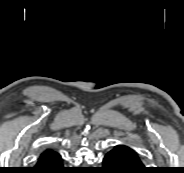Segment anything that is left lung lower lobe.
Masks as SVG:
<instances>
[{
  "instance_id": "1",
  "label": "left lung lower lobe",
  "mask_w": 184,
  "mask_h": 173,
  "mask_svg": "<svg viewBox=\"0 0 184 173\" xmlns=\"http://www.w3.org/2000/svg\"><path fill=\"white\" fill-rule=\"evenodd\" d=\"M103 169L105 173H148L138 153L121 144L104 156Z\"/></svg>"
}]
</instances>
